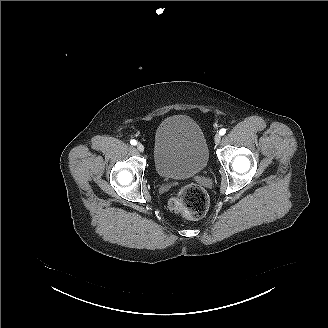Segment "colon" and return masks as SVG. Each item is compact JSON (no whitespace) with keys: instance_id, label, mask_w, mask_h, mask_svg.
Wrapping results in <instances>:
<instances>
[{"instance_id":"5ec220e1","label":"colon","mask_w":328,"mask_h":328,"mask_svg":"<svg viewBox=\"0 0 328 328\" xmlns=\"http://www.w3.org/2000/svg\"><path fill=\"white\" fill-rule=\"evenodd\" d=\"M209 202L205 190L194 184L183 186L176 197L169 201L171 211L187 219H198L205 215Z\"/></svg>"}]
</instances>
